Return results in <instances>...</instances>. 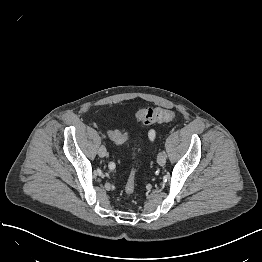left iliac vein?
<instances>
[{"instance_id":"left-iliac-vein-1","label":"left iliac vein","mask_w":262,"mask_h":262,"mask_svg":"<svg viewBox=\"0 0 262 262\" xmlns=\"http://www.w3.org/2000/svg\"><path fill=\"white\" fill-rule=\"evenodd\" d=\"M157 162L160 166H164L166 163V154L164 151H160L157 156Z\"/></svg>"}]
</instances>
